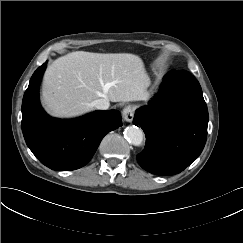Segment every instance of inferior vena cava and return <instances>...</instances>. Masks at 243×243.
Instances as JSON below:
<instances>
[{
  "label": "inferior vena cava",
  "mask_w": 243,
  "mask_h": 243,
  "mask_svg": "<svg viewBox=\"0 0 243 243\" xmlns=\"http://www.w3.org/2000/svg\"><path fill=\"white\" fill-rule=\"evenodd\" d=\"M110 106V103L107 99L100 98L94 101V107L98 110H107Z\"/></svg>",
  "instance_id": "1"
}]
</instances>
